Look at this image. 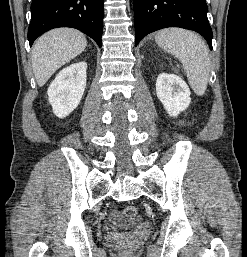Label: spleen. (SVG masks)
Returning a JSON list of instances; mask_svg holds the SVG:
<instances>
[{"instance_id":"1","label":"spleen","mask_w":247,"mask_h":257,"mask_svg":"<svg viewBox=\"0 0 247 257\" xmlns=\"http://www.w3.org/2000/svg\"><path fill=\"white\" fill-rule=\"evenodd\" d=\"M156 43L183 64L190 86L203 95L208 84L210 60L202 39L191 31L179 28L163 29L155 36Z\"/></svg>"}]
</instances>
